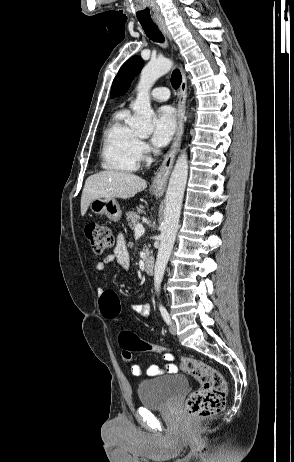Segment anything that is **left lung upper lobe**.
Returning a JSON list of instances; mask_svg holds the SVG:
<instances>
[{"label":"left lung upper lobe","instance_id":"5c2ea615","mask_svg":"<svg viewBox=\"0 0 294 462\" xmlns=\"http://www.w3.org/2000/svg\"><path fill=\"white\" fill-rule=\"evenodd\" d=\"M142 67L143 60L139 56H134L125 62L113 81L111 97L127 92L131 81L140 73Z\"/></svg>","mask_w":294,"mask_h":462}]
</instances>
